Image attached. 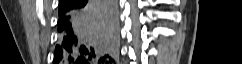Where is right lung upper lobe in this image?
I'll return each instance as SVG.
<instances>
[{
  "label": "right lung upper lobe",
  "instance_id": "obj_1",
  "mask_svg": "<svg viewBox=\"0 0 242 64\" xmlns=\"http://www.w3.org/2000/svg\"><path fill=\"white\" fill-rule=\"evenodd\" d=\"M63 1H65V0H60L59 4L62 3Z\"/></svg>",
  "mask_w": 242,
  "mask_h": 64
}]
</instances>
